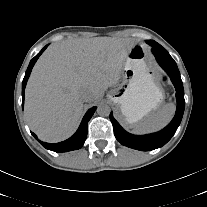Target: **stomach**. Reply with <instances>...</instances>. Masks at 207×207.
Wrapping results in <instances>:
<instances>
[{
  "label": "stomach",
  "mask_w": 207,
  "mask_h": 207,
  "mask_svg": "<svg viewBox=\"0 0 207 207\" xmlns=\"http://www.w3.org/2000/svg\"><path fill=\"white\" fill-rule=\"evenodd\" d=\"M107 97L125 126L135 125L161 106L164 91L144 45L136 43L127 53L121 80Z\"/></svg>",
  "instance_id": "0dacf381"
}]
</instances>
